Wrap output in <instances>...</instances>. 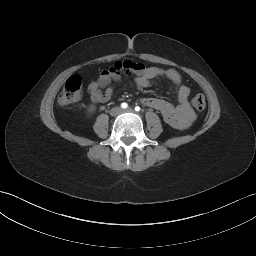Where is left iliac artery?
<instances>
[{"label":"left iliac artery","mask_w":256,"mask_h":256,"mask_svg":"<svg viewBox=\"0 0 256 256\" xmlns=\"http://www.w3.org/2000/svg\"><path fill=\"white\" fill-rule=\"evenodd\" d=\"M141 110V108L139 106L135 107V111L139 112Z\"/></svg>","instance_id":"1"}]
</instances>
